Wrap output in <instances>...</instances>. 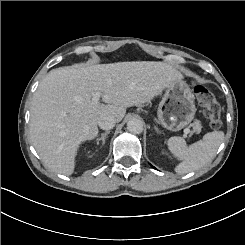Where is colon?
Instances as JSON below:
<instances>
[{
	"label": "colon",
	"mask_w": 245,
	"mask_h": 245,
	"mask_svg": "<svg viewBox=\"0 0 245 245\" xmlns=\"http://www.w3.org/2000/svg\"><path fill=\"white\" fill-rule=\"evenodd\" d=\"M194 93L198 102L203 107L204 114L210 126L212 128H219L222 123L221 107L213 92L202 85H196L194 87Z\"/></svg>",
	"instance_id": "obj_1"
}]
</instances>
